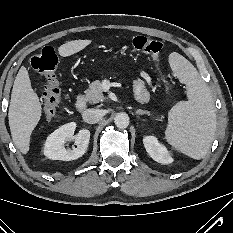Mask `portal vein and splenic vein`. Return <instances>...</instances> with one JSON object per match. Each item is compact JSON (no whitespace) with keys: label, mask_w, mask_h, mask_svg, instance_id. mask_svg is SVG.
Returning <instances> with one entry per match:
<instances>
[{"label":"portal vein and splenic vein","mask_w":233,"mask_h":233,"mask_svg":"<svg viewBox=\"0 0 233 233\" xmlns=\"http://www.w3.org/2000/svg\"><path fill=\"white\" fill-rule=\"evenodd\" d=\"M102 88L104 91H108L109 88H110V83L109 81H104L103 85H102Z\"/></svg>","instance_id":"18ae733b"}]
</instances>
